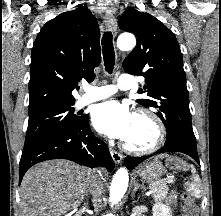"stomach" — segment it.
<instances>
[{
    "instance_id": "0dacf381",
    "label": "stomach",
    "mask_w": 221,
    "mask_h": 216,
    "mask_svg": "<svg viewBox=\"0 0 221 216\" xmlns=\"http://www.w3.org/2000/svg\"><path fill=\"white\" fill-rule=\"evenodd\" d=\"M165 173V168L157 159L147 162L138 169L139 176L148 183H155Z\"/></svg>"
}]
</instances>
